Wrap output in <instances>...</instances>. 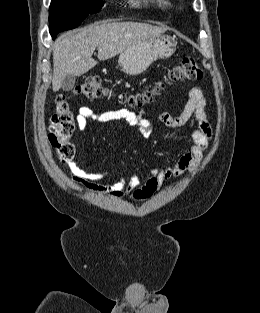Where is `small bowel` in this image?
Segmentation results:
<instances>
[{
    "label": "small bowel",
    "instance_id": "c3829d8e",
    "mask_svg": "<svg viewBox=\"0 0 260 313\" xmlns=\"http://www.w3.org/2000/svg\"><path fill=\"white\" fill-rule=\"evenodd\" d=\"M89 119H95L100 123L122 120L134 127L143 137L151 134V125L144 117L143 111L134 112L128 109L94 111L89 106L80 107L76 118L80 131L87 128ZM158 119L172 129L189 128L186 150L172 165L152 169L143 185H140V178L137 174H133L128 179L121 177L110 184H99V181L105 178V172L86 171L77 161H72L69 164V171L73 176V184L96 194L116 199L129 195L134 200L140 201L152 196L167 181L194 170L203 161L204 152L208 148L212 136V128L206 111V100L201 88L193 87L190 90L188 101L179 114L172 115L166 111H161L158 113ZM192 119L195 120V125H190Z\"/></svg>",
    "mask_w": 260,
    "mask_h": 313
}]
</instances>
